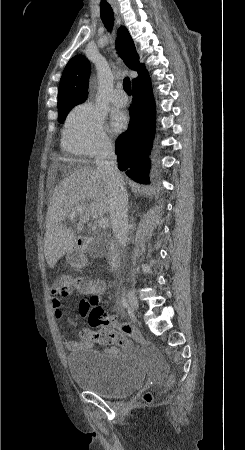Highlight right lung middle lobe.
Masks as SVG:
<instances>
[{
    "mask_svg": "<svg viewBox=\"0 0 245 450\" xmlns=\"http://www.w3.org/2000/svg\"><path fill=\"white\" fill-rule=\"evenodd\" d=\"M78 103H67L58 107V120L59 122H63L66 114Z\"/></svg>",
    "mask_w": 245,
    "mask_h": 450,
    "instance_id": "1",
    "label": "right lung middle lobe"
}]
</instances>
